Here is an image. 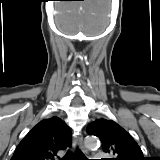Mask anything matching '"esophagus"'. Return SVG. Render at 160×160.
<instances>
[{
  "label": "esophagus",
  "instance_id": "esophagus-1",
  "mask_svg": "<svg viewBox=\"0 0 160 160\" xmlns=\"http://www.w3.org/2000/svg\"><path fill=\"white\" fill-rule=\"evenodd\" d=\"M74 146L77 145L84 153H86V149L83 145V137L82 135H78L75 139H74V142H73Z\"/></svg>",
  "mask_w": 160,
  "mask_h": 160
}]
</instances>
